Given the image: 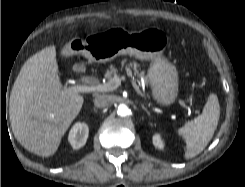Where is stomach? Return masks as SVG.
Instances as JSON below:
<instances>
[{
  "label": "stomach",
  "instance_id": "stomach-1",
  "mask_svg": "<svg viewBox=\"0 0 245 187\" xmlns=\"http://www.w3.org/2000/svg\"><path fill=\"white\" fill-rule=\"evenodd\" d=\"M167 42L165 32L156 28L128 32L115 27L91 34L84 40L72 39L62 54L83 55L96 63H105L126 54L141 60H151L147 76L152 95L159 104L169 105L178 96V73L175 66L162 57Z\"/></svg>",
  "mask_w": 245,
  "mask_h": 187
}]
</instances>
